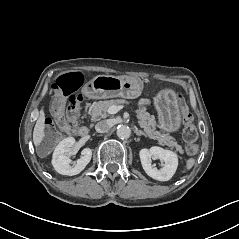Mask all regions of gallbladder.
I'll return each mask as SVG.
<instances>
[{
    "label": "gallbladder",
    "mask_w": 239,
    "mask_h": 239,
    "mask_svg": "<svg viewBox=\"0 0 239 239\" xmlns=\"http://www.w3.org/2000/svg\"><path fill=\"white\" fill-rule=\"evenodd\" d=\"M46 147L44 146V145H41V146H39V147H37V153H38V155H40V151L42 150V149H45Z\"/></svg>",
    "instance_id": "obj_1"
}]
</instances>
